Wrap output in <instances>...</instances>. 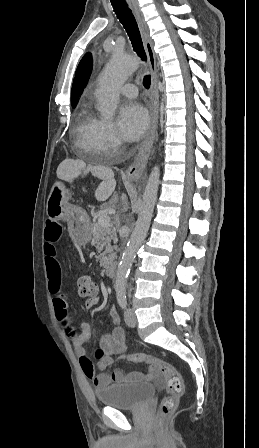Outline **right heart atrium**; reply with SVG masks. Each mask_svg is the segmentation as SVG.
Wrapping results in <instances>:
<instances>
[{"label":"right heart atrium","mask_w":259,"mask_h":448,"mask_svg":"<svg viewBox=\"0 0 259 448\" xmlns=\"http://www.w3.org/2000/svg\"><path fill=\"white\" fill-rule=\"evenodd\" d=\"M98 152L105 159L119 152L123 147L122 139L114 125L107 120L100 123L98 137Z\"/></svg>","instance_id":"1"}]
</instances>
